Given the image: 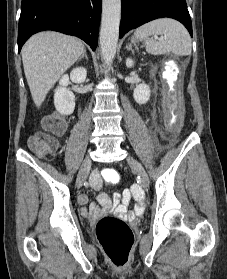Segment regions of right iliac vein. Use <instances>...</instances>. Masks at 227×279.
I'll list each match as a JSON object with an SVG mask.
<instances>
[{
	"instance_id": "right-iliac-vein-1",
	"label": "right iliac vein",
	"mask_w": 227,
	"mask_h": 279,
	"mask_svg": "<svg viewBox=\"0 0 227 279\" xmlns=\"http://www.w3.org/2000/svg\"><path fill=\"white\" fill-rule=\"evenodd\" d=\"M90 166H91V158L88 156V157H86L84 159V161H83V163L81 165V168L79 170V173H78V176H77V179H76V186H77V188L82 187V185H83V183L85 181V178L88 175Z\"/></svg>"
}]
</instances>
